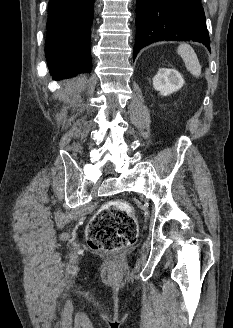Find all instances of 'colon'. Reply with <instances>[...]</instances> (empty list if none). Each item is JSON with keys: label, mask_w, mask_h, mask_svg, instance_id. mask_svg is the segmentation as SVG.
Segmentation results:
<instances>
[{"label": "colon", "mask_w": 233, "mask_h": 328, "mask_svg": "<svg viewBox=\"0 0 233 328\" xmlns=\"http://www.w3.org/2000/svg\"><path fill=\"white\" fill-rule=\"evenodd\" d=\"M137 232L131 206L123 201H110L91 219L86 238L96 251L117 252L132 245Z\"/></svg>", "instance_id": "1"}]
</instances>
